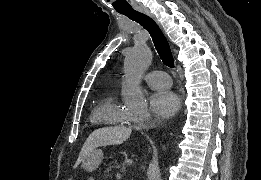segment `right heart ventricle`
<instances>
[{
	"mask_svg": "<svg viewBox=\"0 0 261 180\" xmlns=\"http://www.w3.org/2000/svg\"><path fill=\"white\" fill-rule=\"evenodd\" d=\"M90 121H104V126H91L92 131H94V127H124L115 93L104 96L96 103Z\"/></svg>",
	"mask_w": 261,
	"mask_h": 180,
	"instance_id": "obj_1",
	"label": "right heart ventricle"
}]
</instances>
